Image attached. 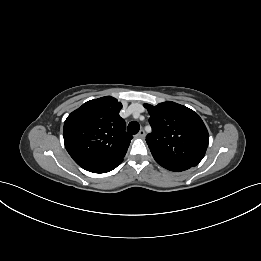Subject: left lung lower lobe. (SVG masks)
Segmentation results:
<instances>
[{"instance_id": "left-lung-lower-lobe-1", "label": "left lung lower lobe", "mask_w": 261, "mask_h": 261, "mask_svg": "<svg viewBox=\"0 0 261 261\" xmlns=\"http://www.w3.org/2000/svg\"><path fill=\"white\" fill-rule=\"evenodd\" d=\"M152 155L159 165H161L162 167H164L170 171L180 172V171H184V170H187L192 167L189 164L177 162V161H174V160H171V159H168V158L156 155V154H152Z\"/></svg>"}]
</instances>
